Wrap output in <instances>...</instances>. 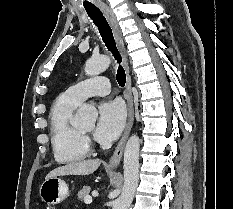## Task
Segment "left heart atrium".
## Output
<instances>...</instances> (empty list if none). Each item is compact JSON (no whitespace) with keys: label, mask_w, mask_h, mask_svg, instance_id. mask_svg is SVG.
Wrapping results in <instances>:
<instances>
[{"label":"left heart atrium","mask_w":233,"mask_h":209,"mask_svg":"<svg viewBox=\"0 0 233 209\" xmlns=\"http://www.w3.org/2000/svg\"><path fill=\"white\" fill-rule=\"evenodd\" d=\"M94 136L98 141L110 142L121 133L125 123V110L119 101H105L98 109Z\"/></svg>","instance_id":"obj_1"}]
</instances>
